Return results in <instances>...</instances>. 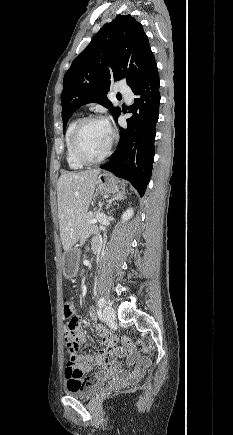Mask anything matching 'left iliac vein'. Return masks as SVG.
Here are the masks:
<instances>
[{
  "label": "left iliac vein",
  "instance_id": "1",
  "mask_svg": "<svg viewBox=\"0 0 233 435\" xmlns=\"http://www.w3.org/2000/svg\"><path fill=\"white\" fill-rule=\"evenodd\" d=\"M103 319L107 324L115 321V311L112 306L107 305L103 309Z\"/></svg>",
  "mask_w": 233,
  "mask_h": 435
}]
</instances>
